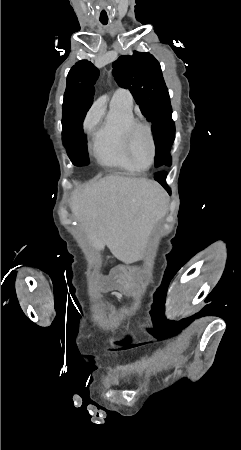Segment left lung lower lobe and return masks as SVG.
Returning a JSON list of instances; mask_svg holds the SVG:
<instances>
[{"label":"left lung lower lobe","mask_w":241,"mask_h":450,"mask_svg":"<svg viewBox=\"0 0 241 450\" xmlns=\"http://www.w3.org/2000/svg\"><path fill=\"white\" fill-rule=\"evenodd\" d=\"M171 165V163H170ZM169 165V166H170ZM155 179L168 191L170 192V188L167 186L165 179H166V174L164 173H157L155 175Z\"/></svg>","instance_id":"0a47b994"}]
</instances>
